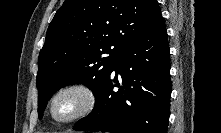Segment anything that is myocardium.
Listing matches in <instances>:
<instances>
[{"label":"myocardium","instance_id":"obj_1","mask_svg":"<svg viewBox=\"0 0 221 133\" xmlns=\"http://www.w3.org/2000/svg\"><path fill=\"white\" fill-rule=\"evenodd\" d=\"M63 97L75 99V107L65 116H56L54 108ZM96 93L94 89L84 82H70L54 91L48 100L46 113L51 121L57 124H68L88 116L96 106Z\"/></svg>","mask_w":221,"mask_h":133}]
</instances>
